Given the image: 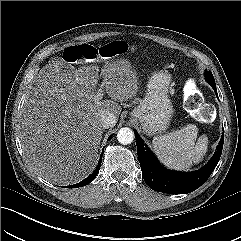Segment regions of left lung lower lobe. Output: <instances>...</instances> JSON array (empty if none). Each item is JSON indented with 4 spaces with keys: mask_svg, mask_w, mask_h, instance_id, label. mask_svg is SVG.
<instances>
[{
    "mask_svg": "<svg viewBox=\"0 0 241 241\" xmlns=\"http://www.w3.org/2000/svg\"><path fill=\"white\" fill-rule=\"evenodd\" d=\"M210 85L217 92L215 83H210ZM135 138L142 177L146 184L155 191L169 194L189 193L207 181L219 162L224 143V135H222L217 151L207 165L198 171L182 173L162 167L149 149L144 146L143 140L136 131Z\"/></svg>",
    "mask_w": 241,
    "mask_h": 241,
    "instance_id": "left-lung-lower-lobe-1",
    "label": "left lung lower lobe"
}]
</instances>
